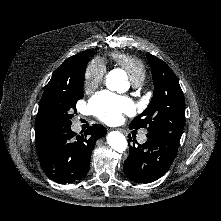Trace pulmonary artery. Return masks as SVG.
Wrapping results in <instances>:
<instances>
[{
  "instance_id": "1",
  "label": "pulmonary artery",
  "mask_w": 221,
  "mask_h": 221,
  "mask_svg": "<svg viewBox=\"0 0 221 221\" xmlns=\"http://www.w3.org/2000/svg\"><path fill=\"white\" fill-rule=\"evenodd\" d=\"M138 85L139 84H135V86H138ZM146 139H147L146 132H143L138 138L140 143H144L146 141Z\"/></svg>"
}]
</instances>
